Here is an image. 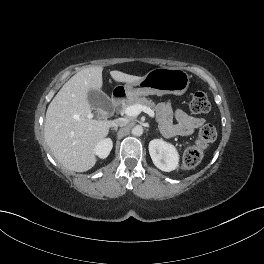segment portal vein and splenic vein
<instances>
[{
	"instance_id": "18ae733b",
	"label": "portal vein and splenic vein",
	"mask_w": 264,
	"mask_h": 264,
	"mask_svg": "<svg viewBox=\"0 0 264 264\" xmlns=\"http://www.w3.org/2000/svg\"><path fill=\"white\" fill-rule=\"evenodd\" d=\"M123 111H124V114H126L127 116H138L141 112L147 113L151 118H154L155 116V113L152 109H150L147 106L140 105V104L128 106Z\"/></svg>"
}]
</instances>
